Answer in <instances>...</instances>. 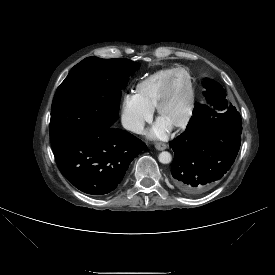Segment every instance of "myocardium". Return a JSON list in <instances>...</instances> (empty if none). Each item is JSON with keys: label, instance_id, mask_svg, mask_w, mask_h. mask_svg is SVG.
Returning <instances> with one entry per match:
<instances>
[{"label": "myocardium", "instance_id": "myocardium-1", "mask_svg": "<svg viewBox=\"0 0 275 275\" xmlns=\"http://www.w3.org/2000/svg\"><path fill=\"white\" fill-rule=\"evenodd\" d=\"M184 72L186 74L187 77V81H188V98H187V102H186V106H185V111L183 116L178 120L173 122L172 124L169 125L170 128L172 129H177V128H182L185 127L193 114V110H194V104H195V86H194V82H193V78L190 74V72L184 68V67H175L172 70V73L163 89V91L161 92L156 105H155V112L157 115L158 119H161L162 117V113H163V109L165 104L167 103L172 89H173V84H174V77L176 75V73L178 72Z\"/></svg>", "mask_w": 275, "mask_h": 275}]
</instances>
